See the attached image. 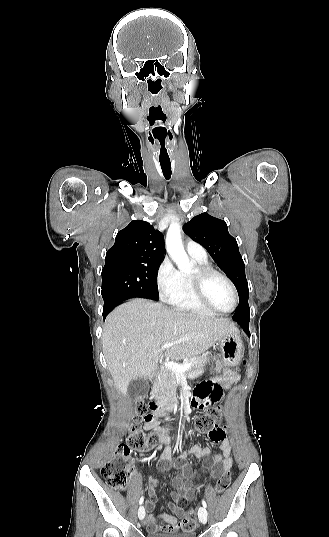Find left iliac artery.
Segmentation results:
<instances>
[{
  "label": "left iliac artery",
  "instance_id": "1",
  "mask_svg": "<svg viewBox=\"0 0 329 537\" xmlns=\"http://www.w3.org/2000/svg\"><path fill=\"white\" fill-rule=\"evenodd\" d=\"M202 505H203V507H205V508L207 507V503H206V501H205L204 499L202 500Z\"/></svg>",
  "mask_w": 329,
  "mask_h": 537
}]
</instances>
